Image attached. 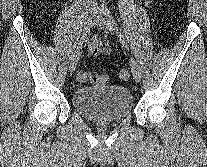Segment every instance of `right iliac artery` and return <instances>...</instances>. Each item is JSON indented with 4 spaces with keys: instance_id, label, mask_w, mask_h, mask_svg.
<instances>
[{
    "instance_id": "1",
    "label": "right iliac artery",
    "mask_w": 207,
    "mask_h": 167,
    "mask_svg": "<svg viewBox=\"0 0 207 167\" xmlns=\"http://www.w3.org/2000/svg\"><path fill=\"white\" fill-rule=\"evenodd\" d=\"M89 34H90V29L84 34V38L82 39V41H80L77 49L81 48L83 43L87 41Z\"/></svg>"
}]
</instances>
